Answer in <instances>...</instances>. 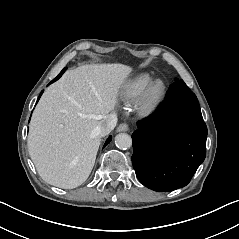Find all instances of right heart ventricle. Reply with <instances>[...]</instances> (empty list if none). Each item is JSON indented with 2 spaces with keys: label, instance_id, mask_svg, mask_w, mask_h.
<instances>
[{
  "label": "right heart ventricle",
  "instance_id": "obj_1",
  "mask_svg": "<svg viewBox=\"0 0 239 239\" xmlns=\"http://www.w3.org/2000/svg\"><path fill=\"white\" fill-rule=\"evenodd\" d=\"M154 79L155 76L148 72H142L132 77L122 89L123 100L127 103L137 100Z\"/></svg>",
  "mask_w": 239,
  "mask_h": 239
}]
</instances>
